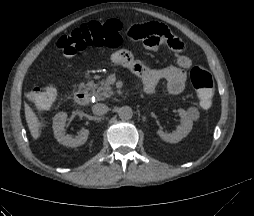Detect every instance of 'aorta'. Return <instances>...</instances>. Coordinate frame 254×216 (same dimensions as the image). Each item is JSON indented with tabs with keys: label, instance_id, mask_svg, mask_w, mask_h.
<instances>
[{
	"label": "aorta",
	"instance_id": "1",
	"mask_svg": "<svg viewBox=\"0 0 254 216\" xmlns=\"http://www.w3.org/2000/svg\"><path fill=\"white\" fill-rule=\"evenodd\" d=\"M118 115L121 120H130L133 116L132 108L129 106H122L118 110Z\"/></svg>",
	"mask_w": 254,
	"mask_h": 216
}]
</instances>
